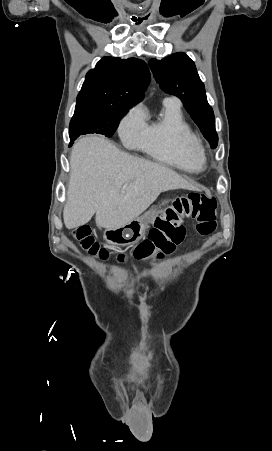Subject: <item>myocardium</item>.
I'll return each instance as SVG.
<instances>
[{
	"instance_id": "obj_1",
	"label": "myocardium",
	"mask_w": 272,
	"mask_h": 451,
	"mask_svg": "<svg viewBox=\"0 0 272 451\" xmlns=\"http://www.w3.org/2000/svg\"><path fill=\"white\" fill-rule=\"evenodd\" d=\"M184 151L185 155L193 163L196 171H200L207 164V152L199 140L194 139L185 143Z\"/></svg>"
}]
</instances>
